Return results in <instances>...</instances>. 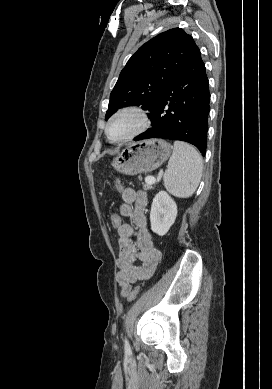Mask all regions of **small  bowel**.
<instances>
[{"mask_svg":"<svg viewBox=\"0 0 272 389\" xmlns=\"http://www.w3.org/2000/svg\"><path fill=\"white\" fill-rule=\"evenodd\" d=\"M121 194L123 203L119 207V214L132 220V224L123 223L117 229L119 244L117 283L121 296L126 297L132 284L152 276L161 260V252L154 246L147 227L146 193L133 188H124ZM137 260L141 261L142 265H136Z\"/></svg>","mask_w":272,"mask_h":389,"instance_id":"c3829d8e","label":"small bowel"}]
</instances>
